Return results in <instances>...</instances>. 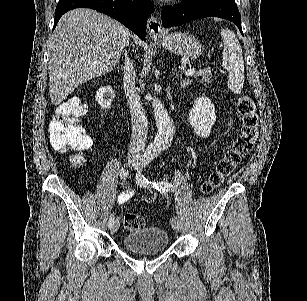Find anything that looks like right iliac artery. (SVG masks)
<instances>
[{"instance_id":"82829eb1","label":"right iliac artery","mask_w":307,"mask_h":301,"mask_svg":"<svg viewBox=\"0 0 307 301\" xmlns=\"http://www.w3.org/2000/svg\"><path fill=\"white\" fill-rule=\"evenodd\" d=\"M120 177L122 179H126L128 177V170H126L125 168H121L120 169ZM113 225H114V215H111L109 222H108V227L112 228Z\"/></svg>"}]
</instances>
